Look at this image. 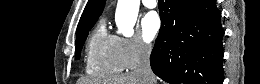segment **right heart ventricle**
Segmentation results:
<instances>
[{"mask_svg": "<svg viewBox=\"0 0 260 84\" xmlns=\"http://www.w3.org/2000/svg\"><path fill=\"white\" fill-rule=\"evenodd\" d=\"M124 69L117 48V37L101 22L91 34L86 48L85 70L94 77H107Z\"/></svg>", "mask_w": 260, "mask_h": 84, "instance_id": "e07e8e85", "label": "right heart ventricle"}]
</instances>
